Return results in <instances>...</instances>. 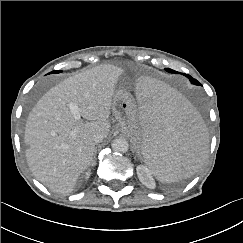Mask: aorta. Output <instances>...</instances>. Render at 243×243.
<instances>
[{"instance_id": "aorta-1", "label": "aorta", "mask_w": 243, "mask_h": 243, "mask_svg": "<svg viewBox=\"0 0 243 243\" xmlns=\"http://www.w3.org/2000/svg\"><path fill=\"white\" fill-rule=\"evenodd\" d=\"M112 149L116 152H127L129 149V144L124 138H116L112 142Z\"/></svg>"}]
</instances>
